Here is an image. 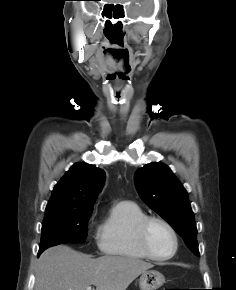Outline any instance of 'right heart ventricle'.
<instances>
[{
  "mask_svg": "<svg viewBox=\"0 0 236 290\" xmlns=\"http://www.w3.org/2000/svg\"><path fill=\"white\" fill-rule=\"evenodd\" d=\"M147 214L135 202L121 201L113 205L97 233L103 254L134 260L149 259L137 239V226Z\"/></svg>",
  "mask_w": 236,
  "mask_h": 290,
  "instance_id": "1",
  "label": "right heart ventricle"
}]
</instances>
